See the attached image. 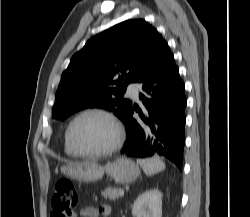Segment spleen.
I'll return each mask as SVG.
<instances>
[{"instance_id":"spleen-1","label":"spleen","mask_w":250,"mask_h":217,"mask_svg":"<svg viewBox=\"0 0 250 217\" xmlns=\"http://www.w3.org/2000/svg\"><path fill=\"white\" fill-rule=\"evenodd\" d=\"M137 162L147 175H154L165 169V163L159 157L148 158V159H137Z\"/></svg>"}]
</instances>
